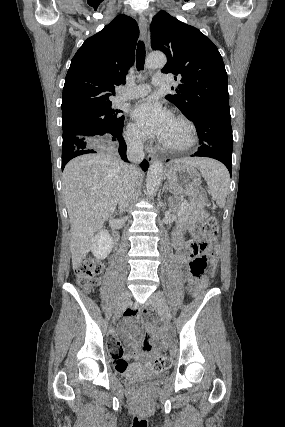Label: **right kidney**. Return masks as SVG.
Wrapping results in <instances>:
<instances>
[{
	"label": "right kidney",
	"mask_w": 285,
	"mask_h": 427,
	"mask_svg": "<svg viewBox=\"0 0 285 427\" xmlns=\"http://www.w3.org/2000/svg\"><path fill=\"white\" fill-rule=\"evenodd\" d=\"M114 241L105 229H101L93 239L92 253L97 259H105L113 248Z\"/></svg>",
	"instance_id": "obj_1"
}]
</instances>
